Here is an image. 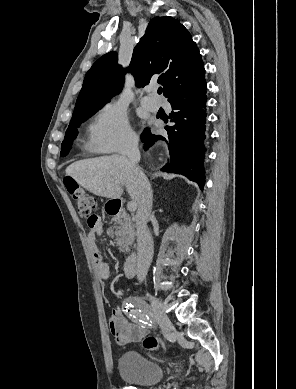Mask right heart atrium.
<instances>
[{
	"mask_svg": "<svg viewBox=\"0 0 296 389\" xmlns=\"http://www.w3.org/2000/svg\"><path fill=\"white\" fill-rule=\"evenodd\" d=\"M91 145L102 153L125 152L137 143L125 111L117 104H105L96 114L90 127Z\"/></svg>",
	"mask_w": 296,
	"mask_h": 389,
	"instance_id": "right-heart-atrium-1",
	"label": "right heart atrium"
}]
</instances>
